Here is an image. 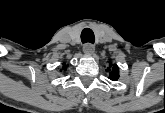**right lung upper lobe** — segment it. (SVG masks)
<instances>
[{
    "label": "right lung upper lobe",
    "mask_w": 165,
    "mask_h": 113,
    "mask_svg": "<svg viewBox=\"0 0 165 113\" xmlns=\"http://www.w3.org/2000/svg\"><path fill=\"white\" fill-rule=\"evenodd\" d=\"M66 67H67V66H66L65 64H63V67H62V69H61L60 71L66 70V69H67Z\"/></svg>",
    "instance_id": "1"
}]
</instances>
